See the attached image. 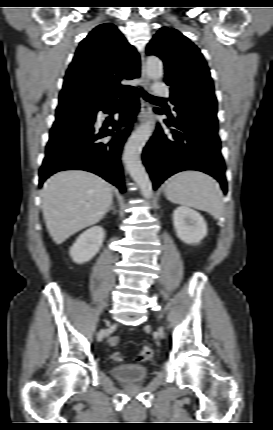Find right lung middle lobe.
Here are the masks:
<instances>
[{
	"label": "right lung middle lobe",
	"instance_id": "dd1d6c3e",
	"mask_svg": "<svg viewBox=\"0 0 273 430\" xmlns=\"http://www.w3.org/2000/svg\"><path fill=\"white\" fill-rule=\"evenodd\" d=\"M93 110L79 100L70 101L56 110V121L50 132V138L75 132L91 125Z\"/></svg>",
	"mask_w": 273,
	"mask_h": 430
}]
</instances>
